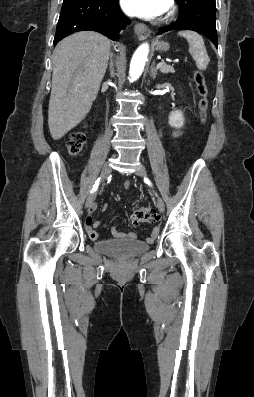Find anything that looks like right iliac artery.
Segmentation results:
<instances>
[{
	"label": "right iliac artery",
	"mask_w": 254,
	"mask_h": 397,
	"mask_svg": "<svg viewBox=\"0 0 254 397\" xmlns=\"http://www.w3.org/2000/svg\"><path fill=\"white\" fill-rule=\"evenodd\" d=\"M99 183H100V178H98V179L95 181V184L93 185V188H92V191H91V192L95 191V190L98 188Z\"/></svg>",
	"instance_id": "right-iliac-artery-1"
}]
</instances>
